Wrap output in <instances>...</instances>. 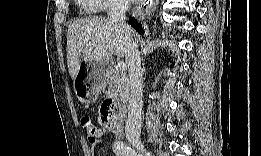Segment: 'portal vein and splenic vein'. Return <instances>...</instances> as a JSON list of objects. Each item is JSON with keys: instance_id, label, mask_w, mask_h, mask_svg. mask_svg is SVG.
Listing matches in <instances>:
<instances>
[{"instance_id": "portal-vein-and-splenic-vein-1", "label": "portal vein and splenic vein", "mask_w": 261, "mask_h": 156, "mask_svg": "<svg viewBox=\"0 0 261 156\" xmlns=\"http://www.w3.org/2000/svg\"><path fill=\"white\" fill-rule=\"evenodd\" d=\"M117 69L120 70V71H125L126 70V64L122 61L118 62Z\"/></svg>"}]
</instances>
